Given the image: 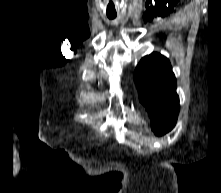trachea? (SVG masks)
I'll return each mask as SVG.
<instances>
[{
  "instance_id": "trachea-1",
  "label": "trachea",
  "mask_w": 221,
  "mask_h": 193,
  "mask_svg": "<svg viewBox=\"0 0 221 193\" xmlns=\"http://www.w3.org/2000/svg\"><path fill=\"white\" fill-rule=\"evenodd\" d=\"M116 17V15H108L109 19H114Z\"/></svg>"
}]
</instances>
